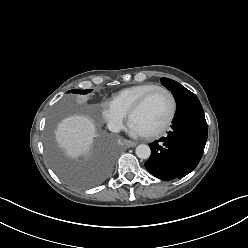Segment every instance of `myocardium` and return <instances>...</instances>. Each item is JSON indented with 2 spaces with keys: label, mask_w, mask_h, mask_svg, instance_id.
Masks as SVG:
<instances>
[{
  "label": "myocardium",
  "mask_w": 248,
  "mask_h": 248,
  "mask_svg": "<svg viewBox=\"0 0 248 248\" xmlns=\"http://www.w3.org/2000/svg\"><path fill=\"white\" fill-rule=\"evenodd\" d=\"M156 92H164L169 97L170 102H171V111H170L168 119L159 129H157L156 131L152 133L144 134V136L148 139H155V138L161 137L169 130V128L173 124V121L177 113V101L173 93L165 87L157 86L151 89L150 91L146 92L144 95H142L128 112V119H129V122L131 123V119L133 115L137 111H139Z\"/></svg>",
  "instance_id": "myocardium-1"
}]
</instances>
